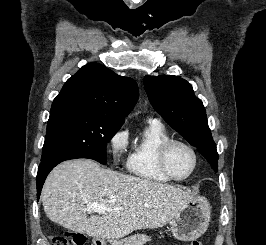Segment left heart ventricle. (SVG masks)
I'll return each instance as SVG.
<instances>
[{
  "instance_id": "left-heart-ventricle-1",
  "label": "left heart ventricle",
  "mask_w": 266,
  "mask_h": 245,
  "mask_svg": "<svg viewBox=\"0 0 266 245\" xmlns=\"http://www.w3.org/2000/svg\"><path fill=\"white\" fill-rule=\"evenodd\" d=\"M170 170L177 178L187 176L194 165L192 153L182 145H175L168 156Z\"/></svg>"
}]
</instances>
